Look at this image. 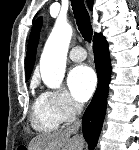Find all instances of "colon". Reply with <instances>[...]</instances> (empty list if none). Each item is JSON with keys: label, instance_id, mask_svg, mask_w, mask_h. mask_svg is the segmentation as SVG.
<instances>
[{"label": "colon", "instance_id": "obj_1", "mask_svg": "<svg viewBox=\"0 0 139 150\" xmlns=\"http://www.w3.org/2000/svg\"><path fill=\"white\" fill-rule=\"evenodd\" d=\"M17 150H26V148L24 146H19Z\"/></svg>", "mask_w": 139, "mask_h": 150}]
</instances>
